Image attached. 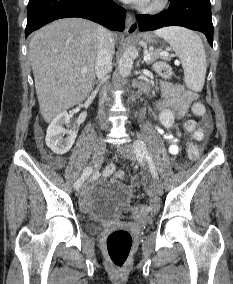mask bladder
I'll return each instance as SVG.
<instances>
[{
    "instance_id": "bladder-1",
    "label": "bladder",
    "mask_w": 233,
    "mask_h": 284,
    "mask_svg": "<svg viewBox=\"0 0 233 284\" xmlns=\"http://www.w3.org/2000/svg\"><path fill=\"white\" fill-rule=\"evenodd\" d=\"M131 195L130 189L118 181H102L85 194V201L102 207L117 206L127 201ZM87 231L98 233L102 227L98 222L91 221L86 225Z\"/></svg>"
}]
</instances>
